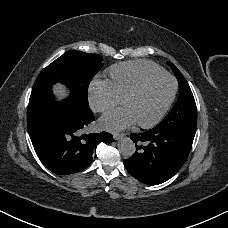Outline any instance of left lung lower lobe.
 I'll use <instances>...</instances> for the list:
<instances>
[{
    "mask_svg": "<svg viewBox=\"0 0 228 228\" xmlns=\"http://www.w3.org/2000/svg\"><path fill=\"white\" fill-rule=\"evenodd\" d=\"M195 133L196 130L191 128L156 126L144 133L131 134L136 151L124 160V166L134 178L144 184H161L183 166Z\"/></svg>",
    "mask_w": 228,
    "mask_h": 228,
    "instance_id": "left-lung-lower-lobe-1",
    "label": "left lung lower lobe"
}]
</instances>
